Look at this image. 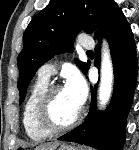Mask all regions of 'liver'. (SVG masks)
<instances>
[{
  "mask_svg": "<svg viewBox=\"0 0 139 150\" xmlns=\"http://www.w3.org/2000/svg\"><path fill=\"white\" fill-rule=\"evenodd\" d=\"M59 144L57 142L48 143V144H41L36 147L35 150H55Z\"/></svg>",
  "mask_w": 139,
  "mask_h": 150,
  "instance_id": "obj_1",
  "label": "liver"
}]
</instances>
